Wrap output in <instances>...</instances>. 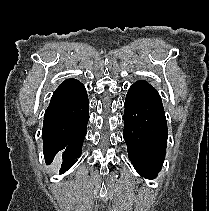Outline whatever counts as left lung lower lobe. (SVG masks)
I'll return each mask as SVG.
<instances>
[{
  "mask_svg": "<svg viewBox=\"0 0 209 211\" xmlns=\"http://www.w3.org/2000/svg\"><path fill=\"white\" fill-rule=\"evenodd\" d=\"M123 136L137 172L155 178L166 154L167 122L159 93L146 81H137L128 90Z\"/></svg>",
  "mask_w": 209,
  "mask_h": 211,
  "instance_id": "left-lung-lower-lobe-1",
  "label": "left lung lower lobe"
}]
</instances>
